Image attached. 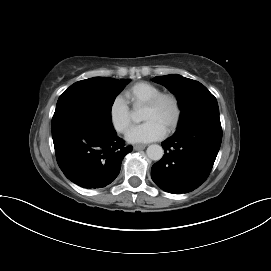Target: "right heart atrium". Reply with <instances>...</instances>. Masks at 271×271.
Segmentation results:
<instances>
[{"mask_svg": "<svg viewBox=\"0 0 271 271\" xmlns=\"http://www.w3.org/2000/svg\"><path fill=\"white\" fill-rule=\"evenodd\" d=\"M109 120L113 129L118 133H125L131 123V113L127 102L121 97L116 96L109 106Z\"/></svg>", "mask_w": 271, "mask_h": 271, "instance_id": "obj_1", "label": "right heart atrium"}]
</instances>
